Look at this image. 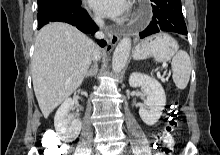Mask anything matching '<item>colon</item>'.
<instances>
[{
  "label": "colon",
  "instance_id": "5ec220e1",
  "mask_svg": "<svg viewBox=\"0 0 220 155\" xmlns=\"http://www.w3.org/2000/svg\"><path fill=\"white\" fill-rule=\"evenodd\" d=\"M180 121V111L177 103L171 104L166 112L165 127L160 137H157L156 144H149V149H157L155 155H171L172 139L171 132L176 129ZM44 155H63V146L55 140L53 135H45Z\"/></svg>",
  "mask_w": 220,
  "mask_h": 155
}]
</instances>
